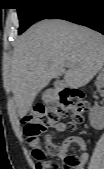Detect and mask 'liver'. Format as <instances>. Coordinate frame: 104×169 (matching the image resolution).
<instances>
[{
	"label": "liver",
	"instance_id": "liver-1",
	"mask_svg": "<svg viewBox=\"0 0 104 169\" xmlns=\"http://www.w3.org/2000/svg\"><path fill=\"white\" fill-rule=\"evenodd\" d=\"M103 65L102 34L65 20L46 19L19 37L4 84L13 93L22 118L52 79L64 74L65 86L79 88L88 84Z\"/></svg>",
	"mask_w": 104,
	"mask_h": 169
}]
</instances>
